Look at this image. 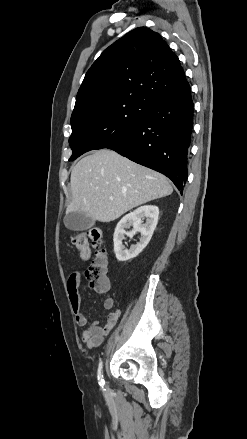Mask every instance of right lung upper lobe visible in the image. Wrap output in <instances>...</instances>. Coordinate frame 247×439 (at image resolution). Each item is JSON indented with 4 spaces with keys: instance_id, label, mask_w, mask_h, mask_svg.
Segmentation results:
<instances>
[{
    "instance_id": "right-lung-upper-lobe-1",
    "label": "right lung upper lobe",
    "mask_w": 247,
    "mask_h": 439,
    "mask_svg": "<svg viewBox=\"0 0 247 439\" xmlns=\"http://www.w3.org/2000/svg\"><path fill=\"white\" fill-rule=\"evenodd\" d=\"M190 89L178 57L157 33L136 28L103 51L85 75L72 116L112 101L152 105Z\"/></svg>"
}]
</instances>
